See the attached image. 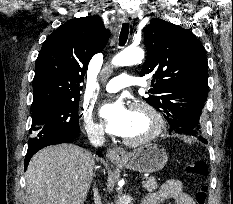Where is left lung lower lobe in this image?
<instances>
[{
  "instance_id": "obj_1",
  "label": "left lung lower lobe",
  "mask_w": 233,
  "mask_h": 204,
  "mask_svg": "<svg viewBox=\"0 0 233 204\" xmlns=\"http://www.w3.org/2000/svg\"><path fill=\"white\" fill-rule=\"evenodd\" d=\"M194 114L193 113H188L186 115H183L181 117H179V119L177 120V122L181 125H188L191 124V122L194 120ZM200 141H202L203 143L207 144V140L203 137V136H199Z\"/></svg>"
}]
</instances>
